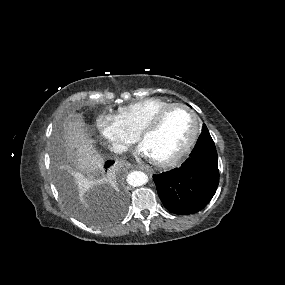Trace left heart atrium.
Here are the masks:
<instances>
[{
    "label": "left heart atrium",
    "instance_id": "39dd6f15",
    "mask_svg": "<svg viewBox=\"0 0 285 285\" xmlns=\"http://www.w3.org/2000/svg\"><path fill=\"white\" fill-rule=\"evenodd\" d=\"M138 153L142 156V157H145V158H152L150 156V154L148 153L145 145L143 143L140 144V146L138 147Z\"/></svg>",
    "mask_w": 285,
    "mask_h": 285
}]
</instances>
